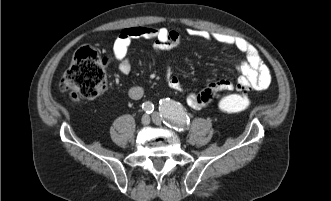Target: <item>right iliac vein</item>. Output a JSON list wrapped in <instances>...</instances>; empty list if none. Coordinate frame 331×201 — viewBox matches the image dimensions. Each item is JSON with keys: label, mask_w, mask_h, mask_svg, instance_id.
<instances>
[{"label": "right iliac vein", "mask_w": 331, "mask_h": 201, "mask_svg": "<svg viewBox=\"0 0 331 201\" xmlns=\"http://www.w3.org/2000/svg\"><path fill=\"white\" fill-rule=\"evenodd\" d=\"M141 123L143 125H148L150 123V116L147 114L143 115L141 118Z\"/></svg>", "instance_id": "63e3f726"}]
</instances>
